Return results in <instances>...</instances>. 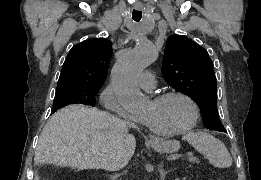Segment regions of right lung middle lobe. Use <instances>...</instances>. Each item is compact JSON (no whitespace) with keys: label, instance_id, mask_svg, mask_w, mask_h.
<instances>
[{"label":"right lung middle lobe","instance_id":"obj_1","mask_svg":"<svg viewBox=\"0 0 261 180\" xmlns=\"http://www.w3.org/2000/svg\"><path fill=\"white\" fill-rule=\"evenodd\" d=\"M101 86L67 85L57 87L52 113L69 104H85L94 106L95 95Z\"/></svg>","mask_w":261,"mask_h":180}]
</instances>
